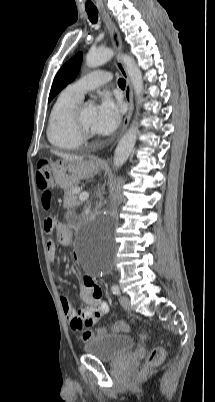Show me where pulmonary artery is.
I'll return each mask as SVG.
<instances>
[{"label":"pulmonary artery","mask_w":215,"mask_h":402,"mask_svg":"<svg viewBox=\"0 0 215 402\" xmlns=\"http://www.w3.org/2000/svg\"><path fill=\"white\" fill-rule=\"evenodd\" d=\"M111 80V74L106 71H94L91 72L76 82L70 84L67 88L83 98L86 92L91 89H94L98 86H101Z\"/></svg>","instance_id":"1"}]
</instances>
